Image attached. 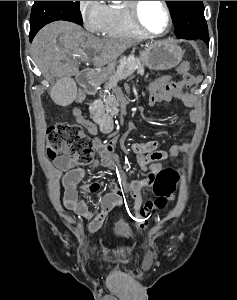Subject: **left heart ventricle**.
<instances>
[{
  "instance_id": "1",
  "label": "left heart ventricle",
  "mask_w": 237,
  "mask_h": 300,
  "mask_svg": "<svg viewBox=\"0 0 237 300\" xmlns=\"http://www.w3.org/2000/svg\"><path fill=\"white\" fill-rule=\"evenodd\" d=\"M140 16L142 23L154 33L166 28V14L161 1H143Z\"/></svg>"
}]
</instances>
